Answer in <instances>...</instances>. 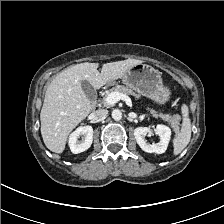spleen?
Returning a JSON list of instances; mask_svg holds the SVG:
<instances>
[{
	"instance_id": "obj_1",
	"label": "spleen",
	"mask_w": 224,
	"mask_h": 224,
	"mask_svg": "<svg viewBox=\"0 0 224 224\" xmlns=\"http://www.w3.org/2000/svg\"><path fill=\"white\" fill-rule=\"evenodd\" d=\"M182 125L180 132L173 140V153L174 155L180 154L183 149L189 144L191 139V120L189 118V110L186 104L181 107Z\"/></svg>"
}]
</instances>
